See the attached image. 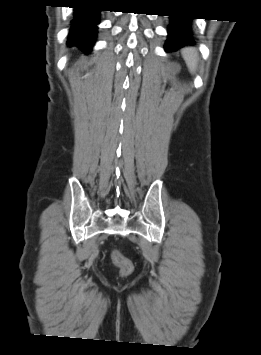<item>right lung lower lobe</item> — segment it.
<instances>
[{
	"label": "right lung lower lobe",
	"mask_w": 261,
	"mask_h": 355,
	"mask_svg": "<svg viewBox=\"0 0 261 355\" xmlns=\"http://www.w3.org/2000/svg\"><path fill=\"white\" fill-rule=\"evenodd\" d=\"M99 11L100 9L89 3L75 8L68 45H77L85 53L90 52L96 36V24L99 23Z\"/></svg>",
	"instance_id": "1"
}]
</instances>
